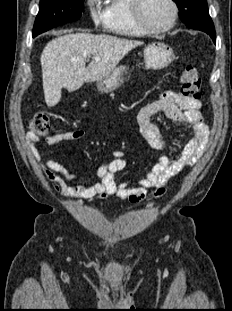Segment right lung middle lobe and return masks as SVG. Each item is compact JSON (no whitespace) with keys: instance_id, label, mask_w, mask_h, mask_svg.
<instances>
[{"instance_id":"right-lung-middle-lobe-1","label":"right lung middle lobe","mask_w":232,"mask_h":311,"mask_svg":"<svg viewBox=\"0 0 232 311\" xmlns=\"http://www.w3.org/2000/svg\"><path fill=\"white\" fill-rule=\"evenodd\" d=\"M84 0H40L33 37L64 23L76 21L83 12Z\"/></svg>"}]
</instances>
